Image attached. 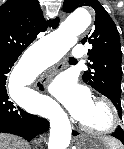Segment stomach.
I'll return each instance as SVG.
<instances>
[{
    "label": "stomach",
    "mask_w": 124,
    "mask_h": 149,
    "mask_svg": "<svg viewBox=\"0 0 124 149\" xmlns=\"http://www.w3.org/2000/svg\"><path fill=\"white\" fill-rule=\"evenodd\" d=\"M78 149H115L111 139H97L85 134L78 137Z\"/></svg>",
    "instance_id": "1"
}]
</instances>
